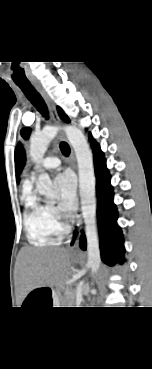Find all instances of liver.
<instances>
[{
    "label": "liver",
    "mask_w": 152,
    "mask_h": 369,
    "mask_svg": "<svg viewBox=\"0 0 152 369\" xmlns=\"http://www.w3.org/2000/svg\"><path fill=\"white\" fill-rule=\"evenodd\" d=\"M19 282L25 293L63 283L69 275L64 249L24 247L19 253Z\"/></svg>",
    "instance_id": "1"
}]
</instances>
